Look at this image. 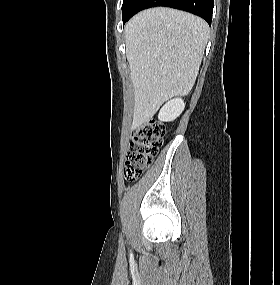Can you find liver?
<instances>
[{"mask_svg": "<svg viewBox=\"0 0 280 285\" xmlns=\"http://www.w3.org/2000/svg\"><path fill=\"white\" fill-rule=\"evenodd\" d=\"M208 36L203 19L171 8L144 10L126 24L134 89L132 128L151 119L165 101L191 91Z\"/></svg>", "mask_w": 280, "mask_h": 285, "instance_id": "6515ba94", "label": "liver"}]
</instances>
